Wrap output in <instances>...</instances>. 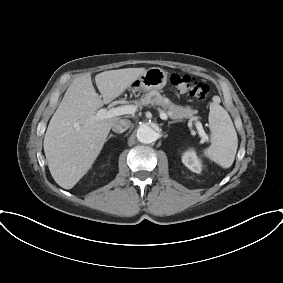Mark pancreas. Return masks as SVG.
Here are the masks:
<instances>
[{
	"label": "pancreas",
	"mask_w": 283,
	"mask_h": 283,
	"mask_svg": "<svg viewBox=\"0 0 283 283\" xmlns=\"http://www.w3.org/2000/svg\"><path fill=\"white\" fill-rule=\"evenodd\" d=\"M138 105L156 104L160 105L164 110H167V114L171 119H175L180 122L184 118L196 121L198 117L195 115L198 110L192 109L190 106H178L173 104L168 98L161 96L159 93H147L143 98L137 101Z\"/></svg>",
	"instance_id": "pancreas-1"
}]
</instances>
